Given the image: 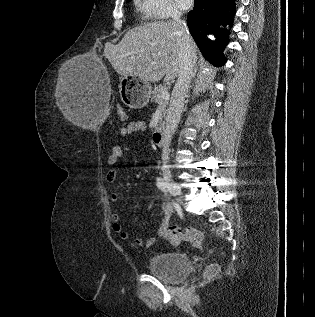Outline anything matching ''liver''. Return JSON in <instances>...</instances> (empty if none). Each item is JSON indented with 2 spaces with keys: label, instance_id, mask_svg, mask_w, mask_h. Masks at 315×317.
I'll list each match as a JSON object with an SVG mask.
<instances>
[{
  "label": "liver",
  "instance_id": "liver-1",
  "mask_svg": "<svg viewBox=\"0 0 315 317\" xmlns=\"http://www.w3.org/2000/svg\"><path fill=\"white\" fill-rule=\"evenodd\" d=\"M189 37L196 54V45ZM181 44L175 21H156L129 30L117 45H106L104 55L123 77L158 82L165 76L172 81L182 67Z\"/></svg>",
  "mask_w": 315,
  "mask_h": 317
}]
</instances>
